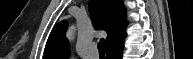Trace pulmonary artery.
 <instances>
[{
    "label": "pulmonary artery",
    "instance_id": "1",
    "mask_svg": "<svg viewBox=\"0 0 193 59\" xmlns=\"http://www.w3.org/2000/svg\"><path fill=\"white\" fill-rule=\"evenodd\" d=\"M86 58L88 59H97L98 55L93 48H90L86 53Z\"/></svg>",
    "mask_w": 193,
    "mask_h": 59
}]
</instances>
